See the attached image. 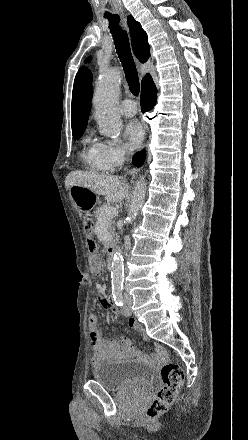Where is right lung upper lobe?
Instances as JSON below:
<instances>
[{"mask_svg":"<svg viewBox=\"0 0 248 440\" xmlns=\"http://www.w3.org/2000/svg\"><path fill=\"white\" fill-rule=\"evenodd\" d=\"M128 25L134 54L140 62L144 63L150 57L147 34L132 16H128ZM149 79L152 78L147 74L142 79V85ZM92 94V75L89 70L82 67L76 74L72 92L71 125L73 132L85 130L91 109Z\"/></svg>","mask_w":248,"mask_h":440,"instance_id":"obj_1","label":"right lung upper lobe"}]
</instances>
